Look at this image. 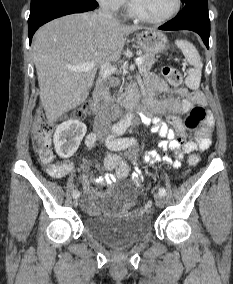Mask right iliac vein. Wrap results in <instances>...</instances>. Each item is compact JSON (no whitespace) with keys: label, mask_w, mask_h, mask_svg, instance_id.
<instances>
[{"label":"right iliac vein","mask_w":233,"mask_h":284,"mask_svg":"<svg viewBox=\"0 0 233 284\" xmlns=\"http://www.w3.org/2000/svg\"><path fill=\"white\" fill-rule=\"evenodd\" d=\"M78 202H79V197H77V198L74 199V204H75V206L78 205Z\"/></svg>","instance_id":"obj_1"}]
</instances>
